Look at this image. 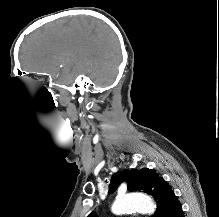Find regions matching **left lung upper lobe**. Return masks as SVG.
Here are the masks:
<instances>
[{
  "label": "left lung upper lobe",
  "instance_id": "left-lung-upper-lobe-1",
  "mask_svg": "<svg viewBox=\"0 0 219 217\" xmlns=\"http://www.w3.org/2000/svg\"><path fill=\"white\" fill-rule=\"evenodd\" d=\"M124 181L127 183L128 191H142L153 196L157 210L152 217H169L174 206L179 203L171 186L151 169L142 168L115 173L111 178L110 192H114ZM88 217L97 215L92 212Z\"/></svg>",
  "mask_w": 219,
  "mask_h": 217
}]
</instances>
